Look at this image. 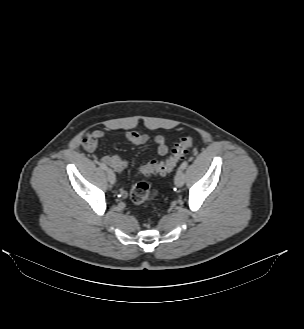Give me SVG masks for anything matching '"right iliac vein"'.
Listing matches in <instances>:
<instances>
[{
    "label": "right iliac vein",
    "mask_w": 304,
    "mask_h": 329,
    "mask_svg": "<svg viewBox=\"0 0 304 329\" xmlns=\"http://www.w3.org/2000/svg\"><path fill=\"white\" fill-rule=\"evenodd\" d=\"M107 178L111 184L116 182V176L111 169H107Z\"/></svg>",
    "instance_id": "obj_1"
}]
</instances>
